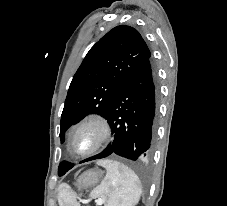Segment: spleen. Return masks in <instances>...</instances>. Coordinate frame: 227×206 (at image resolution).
Segmentation results:
<instances>
[{
  "instance_id": "3e777b00",
  "label": "spleen",
  "mask_w": 227,
  "mask_h": 206,
  "mask_svg": "<svg viewBox=\"0 0 227 206\" xmlns=\"http://www.w3.org/2000/svg\"><path fill=\"white\" fill-rule=\"evenodd\" d=\"M107 173L101 184L91 192L94 198L102 197L105 206H135L142 188L139 177L127 166L112 160L98 162ZM60 198L66 206H78L77 196L68 187L61 188Z\"/></svg>"
}]
</instances>
